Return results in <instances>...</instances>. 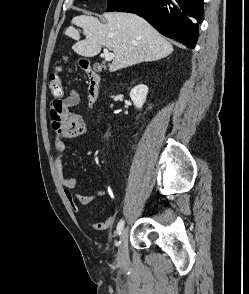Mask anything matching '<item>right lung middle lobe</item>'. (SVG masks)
<instances>
[{"label": "right lung middle lobe", "mask_w": 249, "mask_h": 294, "mask_svg": "<svg viewBox=\"0 0 249 294\" xmlns=\"http://www.w3.org/2000/svg\"><path fill=\"white\" fill-rule=\"evenodd\" d=\"M107 11H117L127 0H107Z\"/></svg>", "instance_id": "1"}]
</instances>
